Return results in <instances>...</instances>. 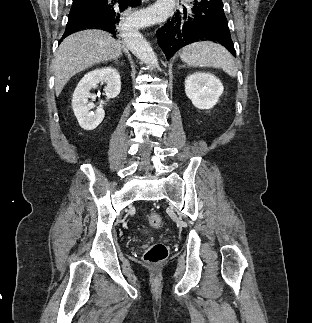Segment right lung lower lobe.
<instances>
[{
    "mask_svg": "<svg viewBox=\"0 0 312 323\" xmlns=\"http://www.w3.org/2000/svg\"><path fill=\"white\" fill-rule=\"evenodd\" d=\"M140 3L141 0H79L71 7L60 42L71 33L85 28L101 29L117 38L126 23L125 11Z\"/></svg>",
    "mask_w": 312,
    "mask_h": 323,
    "instance_id": "98d812e1",
    "label": "right lung lower lobe"
}]
</instances>
